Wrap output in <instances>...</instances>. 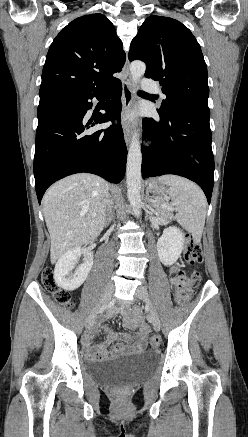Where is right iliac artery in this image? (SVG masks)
Listing matches in <instances>:
<instances>
[{
	"instance_id": "obj_1",
	"label": "right iliac artery",
	"mask_w": 248,
	"mask_h": 437,
	"mask_svg": "<svg viewBox=\"0 0 248 437\" xmlns=\"http://www.w3.org/2000/svg\"><path fill=\"white\" fill-rule=\"evenodd\" d=\"M105 309H106V306H103V307L100 309L99 312H102V311H104Z\"/></svg>"
}]
</instances>
